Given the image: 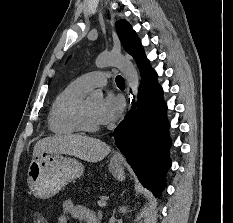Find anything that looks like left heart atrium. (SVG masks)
I'll return each instance as SVG.
<instances>
[{
    "instance_id": "obj_1",
    "label": "left heart atrium",
    "mask_w": 233,
    "mask_h": 223,
    "mask_svg": "<svg viewBox=\"0 0 233 223\" xmlns=\"http://www.w3.org/2000/svg\"><path fill=\"white\" fill-rule=\"evenodd\" d=\"M122 102L113 94L107 95L97 108V121L99 124L108 125L115 122L122 113Z\"/></svg>"
}]
</instances>
